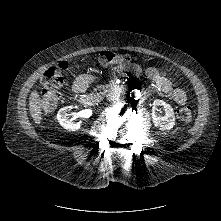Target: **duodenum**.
<instances>
[{"mask_svg":"<svg viewBox=\"0 0 221 221\" xmlns=\"http://www.w3.org/2000/svg\"><path fill=\"white\" fill-rule=\"evenodd\" d=\"M80 94L79 100L85 106H91L98 102L101 98V95L91 96L84 92H78Z\"/></svg>","mask_w":221,"mask_h":221,"instance_id":"obj_1","label":"duodenum"}]
</instances>
